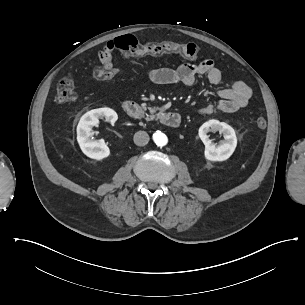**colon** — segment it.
<instances>
[{
    "mask_svg": "<svg viewBox=\"0 0 305 305\" xmlns=\"http://www.w3.org/2000/svg\"><path fill=\"white\" fill-rule=\"evenodd\" d=\"M118 46L117 54L128 53L131 55L149 54H166L171 52L180 53L187 58H196L198 56V47L193 43H172L163 42L157 46H141L136 36L126 33L114 39ZM117 74L116 68L107 69L104 65L97 66L93 71L92 77L94 80H104L114 77ZM76 98L75 81L72 76L63 77L56 90V101L60 103L70 102ZM256 124L259 128L266 127V119L264 116H259L256 119Z\"/></svg>",
    "mask_w": 305,
    "mask_h": 305,
    "instance_id": "obj_1",
    "label": "colon"
}]
</instances>
